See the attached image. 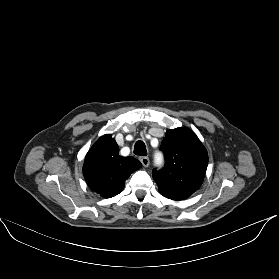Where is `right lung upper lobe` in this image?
I'll return each instance as SVG.
<instances>
[{
    "label": "right lung upper lobe",
    "mask_w": 279,
    "mask_h": 279,
    "mask_svg": "<svg viewBox=\"0 0 279 279\" xmlns=\"http://www.w3.org/2000/svg\"><path fill=\"white\" fill-rule=\"evenodd\" d=\"M141 166L134 157L120 156L116 141L106 134L86 154L83 175L93 191L110 198L123 190L125 181Z\"/></svg>",
    "instance_id": "1"
}]
</instances>
